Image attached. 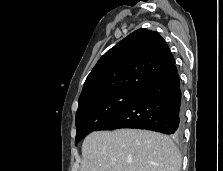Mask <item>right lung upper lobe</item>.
I'll return each instance as SVG.
<instances>
[{
  "mask_svg": "<svg viewBox=\"0 0 223 171\" xmlns=\"http://www.w3.org/2000/svg\"><path fill=\"white\" fill-rule=\"evenodd\" d=\"M174 65L165 40L155 31L138 29L99 59L86 78L78 108L110 93H138Z\"/></svg>",
  "mask_w": 223,
  "mask_h": 171,
  "instance_id": "1",
  "label": "right lung upper lobe"
}]
</instances>
